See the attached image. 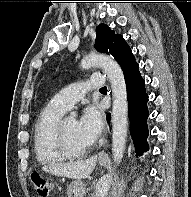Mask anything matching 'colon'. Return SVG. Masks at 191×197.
I'll use <instances>...</instances> for the list:
<instances>
[{
	"mask_svg": "<svg viewBox=\"0 0 191 197\" xmlns=\"http://www.w3.org/2000/svg\"><path fill=\"white\" fill-rule=\"evenodd\" d=\"M31 180L34 185L36 193L40 197H48L51 190L50 183L43 176L39 174H33L31 176Z\"/></svg>",
	"mask_w": 191,
	"mask_h": 197,
	"instance_id": "obj_1",
	"label": "colon"
}]
</instances>
